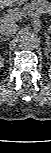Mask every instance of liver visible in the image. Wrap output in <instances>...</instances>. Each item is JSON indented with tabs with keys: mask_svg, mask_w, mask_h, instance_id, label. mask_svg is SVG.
<instances>
[{
	"mask_svg": "<svg viewBox=\"0 0 51 153\" xmlns=\"http://www.w3.org/2000/svg\"><path fill=\"white\" fill-rule=\"evenodd\" d=\"M26 1L27 0H0V7L1 8L12 7V6H15V5H20V4H22ZM5 21H8V20H5Z\"/></svg>",
	"mask_w": 51,
	"mask_h": 153,
	"instance_id": "obj_1",
	"label": "liver"
}]
</instances>
